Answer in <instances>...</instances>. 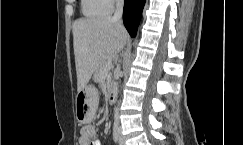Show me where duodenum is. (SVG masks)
<instances>
[{
  "instance_id": "410a0bca",
  "label": "duodenum",
  "mask_w": 243,
  "mask_h": 145,
  "mask_svg": "<svg viewBox=\"0 0 243 145\" xmlns=\"http://www.w3.org/2000/svg\"><path fill=\"white\" fill-rule=\"evenodd\" d=\"M108 101L110 103H113L116 99V87L114 85H110L108 88V94H107Z\"/></svg>"
}]
</instances>
